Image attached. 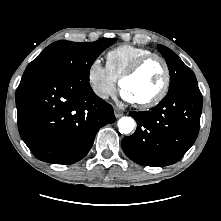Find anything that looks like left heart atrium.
I'll return each mask as SVG.
<instances>
[{"label": "left heart atrium", "instance_id": "obj_1", "mask_svg": "<svg viewBox=\"0 0 221 221\" xmlns=\"http://www.w3.org/2000/svg\"><path fill=\"white\" fill-rule=\"evenodd\" d=\"M121 97H122V99L123 100H125V101H127V102H131V103H133L134 102V100H133V98L130 96V94L126 91V90H122V92H121Z\"/></svg>", "mask_w": 221, "mask_h": 221}]
</instances>
